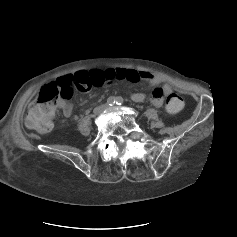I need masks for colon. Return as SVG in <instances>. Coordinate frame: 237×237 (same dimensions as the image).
I'll return each mask as SVG.
<instances>
[{"instance_id": "1", "label": "colon", "mask_w": 237, "mask_h": 237, "mask_svg": "<svg viewBox=\"0 0 237 237\" xmlns=\"http://www.w3.org/2000/svg\"><path fill=\"white\" fill-rule=\"evenodd\" d=\"M104 80L100 71H81L43 86L29 105L26 125L39 133L49 132L56 108L72 97L73 88L85 92L93 86L102 85ZM182 107L183 99L178 94L172 93L168 96L166 110L169 113L175 114Z\"/></svg>"}]
</instances>
